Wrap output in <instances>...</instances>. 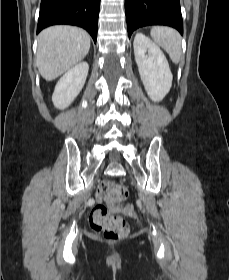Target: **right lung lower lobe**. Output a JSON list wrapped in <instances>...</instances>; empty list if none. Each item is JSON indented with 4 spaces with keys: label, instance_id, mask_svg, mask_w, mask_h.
Masks as SVG:
<instances>
[{
    "label": "right lung lower lobe",
    "instance_id": "right-lung-lower-lobe-1",
    "mask_svg": "<svg viewBox=\"0 0 229 280\" xmlns=\"http://www.w3.org/2000/svg\"><path fill=\"white\" fill-rule=\"evenodd\" d=\"M99 6L100 0H42L37 33L51 25L69 24L86 29L96 42Z\"/></svg>",
    "mask_w": 229,
    "mask_h": 280
}]
</instances>
